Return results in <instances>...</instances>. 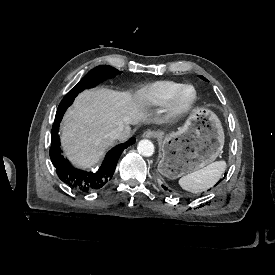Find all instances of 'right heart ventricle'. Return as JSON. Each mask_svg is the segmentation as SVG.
<instances>
[{"mask_svg": "<svg viewBox=\"0 0 275 275\" xmlns=\"http://www.w3.org/2000/svg\"><path fill=\"white\" fill-rule=\"evenodd\" d=\"M180 84L173 81H159L148 86L142 94V101L148 106L167 104Z\"/></svg>", "mask_w": 275, "mask_h": 275, "instance_id": "1", "label": "right heart ventricle"}]
</instances>
